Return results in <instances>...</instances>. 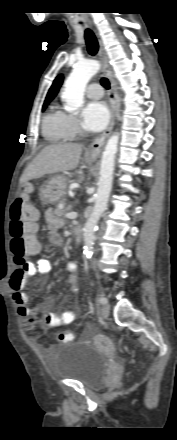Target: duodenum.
Wrapping results in <instances>:
<instances>
[{"mask_svg": "<svg viewBox=\"0 0 177 440\" xmlns=\"http://www.w3.org/2000/svg\"><path fill=\"white\" fill-rule=\"evenodd\" d=\"M74 240L79 244L83 239V228L80 225L74 226L72 229Z\"/></svg>", "mask_w": 177, "mask_h": 440, "instance_id": "obj_1", "label": "duodenum"}]
</instances>
